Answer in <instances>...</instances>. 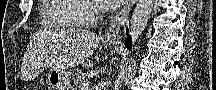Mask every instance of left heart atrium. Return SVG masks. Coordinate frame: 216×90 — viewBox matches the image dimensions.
Instances as JSON below:
<instances>
[{
  "label": "left heart atrium",
  "mask_w": 216,
  "mask_h": 90,
  "mask_svg": "<svg viewBox=\"0 0 216 90\" xmlns=\"http://www.w3.org/2000/svg\"><path fill=\"white\" fill-rule=\"evenodd\" d=\"M100 10H117V7H122L124 0H96Z\"/></svg>",
  "instance_id": "left-heart-atrium-1"
}]
</instances>
